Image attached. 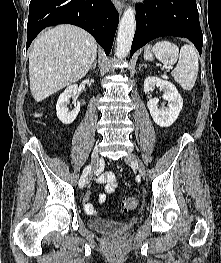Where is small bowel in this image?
I'll list each match as a JSON object with an SVG mask.
<instances>
[{
	"instance_id": "1",
	"label": "small bowel",
	"mask_w": 221,
	"mask_h": 263,
	"mask_svg": "<svg viewBox=\"0 0 221 263\" xmlns=\"http://www.w3.org/2000/svg\"><path fill=\"white\" fill-rule=\"evenodd\" d=\"M96 183L104 187V192L98 195V203L102 204L106 201V196L112 194L117 187V180L114 173L107 171L100 174L96 178ZM84 207L88 213L95 212L94 205L90 202V195L87 193L83 197Z\"/></svg>"
}]
</instances>
